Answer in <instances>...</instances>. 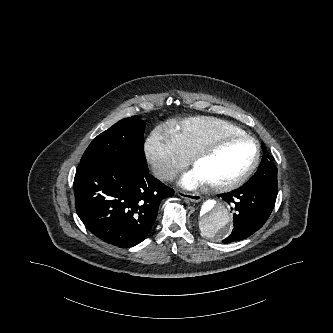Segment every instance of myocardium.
<instances>
[{
  "mask_svg": "<svg viewBox=\"0 0 333 333\" xmlns=\"http://www.w3.org/2000/svg\"><path fill=\"white\" fill-rule=\"evenodd\" d=\"M228 140H248L252 142L255 145V155L251 164L238 177L224 183H207L208 188L214 192H226L240 187L251 177L260 162L261 146L254 136L247 133H223L200 146L191 155V164L195 167L201 159L208 156L218 145Z\"/></svg>",
  "mask_w": 333,
  "mask_h": 333,
  "instance_id": "1",
  "label": "myocardium"
}]
</instances>
